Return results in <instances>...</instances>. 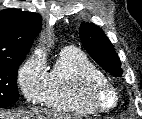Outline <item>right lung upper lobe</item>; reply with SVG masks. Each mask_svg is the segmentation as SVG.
I'll return each mask as SVG.
<instances>
[{
    "label": "right lung upper lobe",
    "instance_id": "right-lung-upper-lobe-1",
    "mask_svg": "<svg viewBox=\"0 0 142 119\" xmlns=\"http://www.w3.org/2000/svg\"><path fill=\"white\" fill-rule=\"evenodd\" d=\"M42 28L37 13L6 9L0 12V60L26 56Z\"/></svg>",
    "mask_w": 142,
    "mask_h": 119
}]
</instances>
